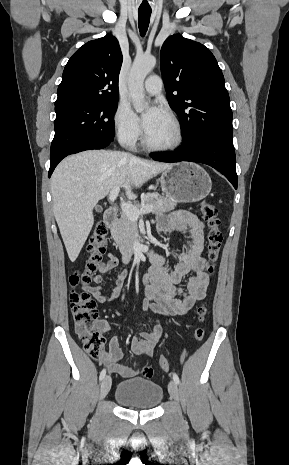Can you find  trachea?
I'll list each match as a JSON object with an SVG mask.
<instances>
[{"label": "trachea", "mask_w": 289, "mask_h": 465, "mask_svg": "<svg viewBox=\"0 0 289 465\" xmlns=\"http://www.w3.org/2000/svg\"><path fill=\"white\" fill-rule=\"evenodd\" d=\"M150 16H151V10H147V9L138 10V25H139L140 35L142 37L145 36L148 30L149 23H150Z\"/></svg>", "instance_id": "3493384b"}]
</instances>
